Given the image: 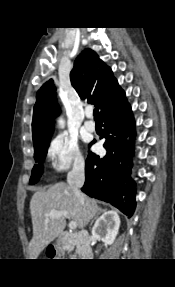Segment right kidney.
Returning <instances> with one entry per match:
<instances>
[{"mask_svg": "<svg viewBox=\"0 0 175 287\" xmlns=\"http://www.w3.org/2000/svg\"><path fill=\"white\" fill-rule=\"evenodd\" d=\"M119 226V215L115 211H106L96 220L92 228V235L106 245H111L116 239Z\"/></svg>", "mask_w": 175, "mask_h": 287, "instance_id": "right-kidney-1", "label": "right kidney"}]
</instances>
